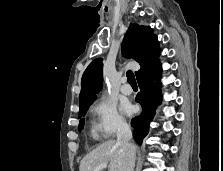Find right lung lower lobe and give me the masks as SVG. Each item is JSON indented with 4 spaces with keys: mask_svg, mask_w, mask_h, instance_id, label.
Listing matches in <instances>:
<instances>
[{
    "mask_svg": "<svg viewBox=\"0 0 223 171\" xmlns=\"http://www.w3.org/2000/svg\"><path fill=\"white\" fill-rule=\"evenodd\" d=\"M161 70V64L158 62L137 77L140 92L135 101L142 106V112L132 119L131 125L134 128L133 137L139 145L148 134L149 123L157 105L161 102L160 83L159 81L153 83L154 80H159Z\"/></svg>",
    "mask_w": 223,
    "mask_h": 171,
    "instance_id": "obj_1",
    "label": "right lung lower lobe"
}]
</instances>
